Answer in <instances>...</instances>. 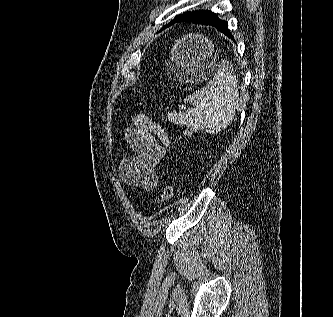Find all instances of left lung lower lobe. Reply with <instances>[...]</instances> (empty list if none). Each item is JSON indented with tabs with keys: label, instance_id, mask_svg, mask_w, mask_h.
Wrapping results in <instances>:
<instances>
[{
	"label": "left lung lower lobe",
	"instance_id": "1",
	"mask_svg": "<svg viewBox=\"0 0 333 317\" xmlns=\"http://www.w3.org/2000/svg\"><path fill=\"white\" fill-rule=\"evenodd\" d=\"M176 22H192L200 25H209L215 27L218 31H220L234 41V38L231 35L230 30L228 29V23L225 20L219 19L218 16L212 11L198 10L189 12L179 20L171 23L170 25Z\"/></svg>",
	"mask_w": 333,
	"mask_h": 317
}]
</instances>
